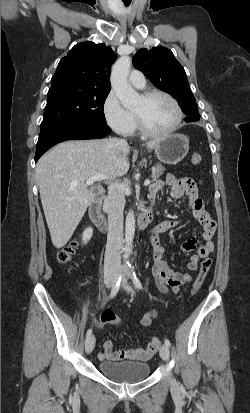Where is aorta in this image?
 I'll return each instance as SVG.
<instances>
[{"label": "aorta", "mask_w": 250, "mask_h": 413, "mask_svg": "<svg viewBox=\"0 0 250 413\" xmlns=\"http://www.w3.org/2000/svg\"><path fill=\"white\" fill-rule=\"evenodd\" d=\"M131 67L129 56L120 57L112 67L110 82L117 97L121 100L124 107L130 109L138 104L139 94L129 85L128 75ZM135 234V215L131 210L126 216L125 240L127 245V255H129Z\"/></svg>", "instance_id": "aorta-1"}]
</instances>
